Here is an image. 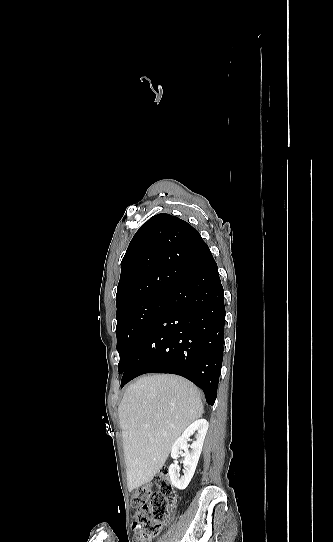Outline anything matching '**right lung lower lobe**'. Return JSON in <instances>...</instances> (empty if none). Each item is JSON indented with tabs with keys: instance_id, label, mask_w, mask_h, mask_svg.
I'll use <instances>...</instances> for the list:
<instances>
[{
	"instance_id": "right-lung-lower-lobe-1",
	"label": "right lung lower lobe",
	"mask_w": 333,
	"mask_h": 542,
	"mask_svg": "<svg viewBox=\"0 0 333 542\" xmlns=\"http://www.w3.org/2000/svg\"><path fill=\"white\" fill-rule=\"evenodd\" d=\"M159 258L183 271L145 328L123 372L121 387L145 373L183 376L213 405L223 358L224 292L208 246L194 252L163 249Z\"/></svg>"
}]
</instances>
